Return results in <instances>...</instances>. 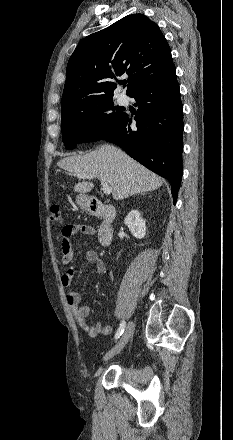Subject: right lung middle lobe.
Returning <instances> with one entry per match:
<instances>
[{"label": "right lung middle lobe", "instance_id": "right-lung-middle-lobe-1", "mask_svg": "<svg viewBox=\"0 0 233 440\" xmlns=\"http://www.w3.org/2000/svg\"><path fill=\"white\" fill-rule=\"evenodd\" d=\"M62 140L67 149L78 143L101 140L123 119L112 97L78 102L61 109Z\"/></svg>", "mask_w": 233, "mask_h": 440}]
</instances>
